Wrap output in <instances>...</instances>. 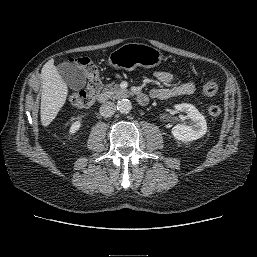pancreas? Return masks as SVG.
<instances>
[{
	"label": "pancreas",
	"mask_w": 257,
	"mask_h": 257,
	"mask_svg": "<svg viewBox=\"0 0 257 257\" xmlns=\"http://www.w3.org/2000/svg\"><path fill=\"white\" fill-rule=\"evenodd\" d=\"M127 91L119 87V85L111 83L106 85L104 89V95L111 99H118L124 97Z\"/></svg>",
	"instance_id": "pancreas-1"
}]
</instances>
